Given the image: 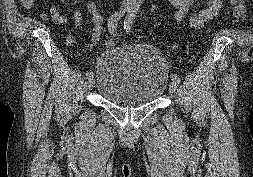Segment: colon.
I'll return each instance as SVG.
<instances>
[{
	"instance_id": "5ec220e1",
	"label": "colon",
	"mask_w": 253,
	"mask_h": 177,
	"mask_svg": "<svg viewBox=\"0 0 253 177\" xmlns=\"http://www.w3.org/2000/svg\"><path fill=\"white\" fill-rule=\"evenodd\" d=\"M233 5V17L237 22H242L246 16V6L244 0H232ZM104 45L106 48L111 49L114 45V40L111 36H106L104 39Z\"/></svg>"
}]
</instances>
